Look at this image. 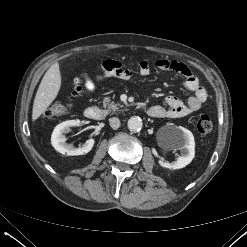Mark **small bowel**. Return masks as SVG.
Returning <instances> with one entry per match:
<instances>
[{"label": "small bowel", "mask_w": 247, "mask_h": 247, "mask_svg": "<svg viewBox=\"0 0 247 247\" xmlns=\"http://www.w3.org/2000/svg\"><path fill=\"white\" fill-rule=\"evenodd\" d=\"M158 69L173 71L184 78V87L192 92L186 103L176 96L166 98V107L154 105L148 109V114L154 118H180L187 116L199 110L207 99V91L200 84L198 77L182 62L169 59H160L155 62ZM102 73L95 78L85 77V87L89 92H94L96 82L104 78L117 77L123 80L130 79L133 76L131 69L124 68L121 62L116 60H106L101 65ZM138 72L141 76H147L151 73V64L143 60L139 64Z\"/></svg>", "instance_id": "small-bowel-1"}]
</instances>
